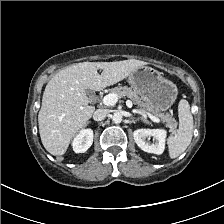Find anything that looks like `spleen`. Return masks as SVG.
Wrapping results in <instances>:
<instances>
[{
  "label": "spleen",
  "instance_id": "obj_1",
  "mask_svg": "<svg viewBox=\"0 0 224 224\" xmlns=\"http://www.w3.org/2000/svg\"><path fill=\"white\" fill-rule=\"evenodd\" d=\"M179 129L176 134L168 138L167 144L170 158H177L189 146L193 136V116L190 112V105L187 100H180Z\"/></svg>",
  "mask_w": 224,
  "mask_h": 224
}]
</instances>
